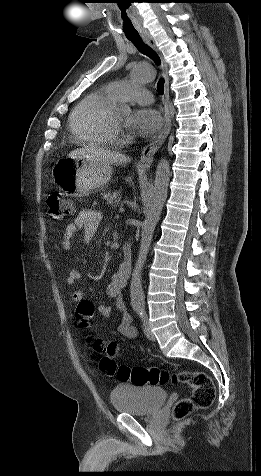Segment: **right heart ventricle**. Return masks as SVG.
<instances>
[{"instance_id":"obj_1","label":"right heart ventricle","mask_w":261,"mask_h":476,"mask_svg":"<svg viewBox=\"0 0 261 476\" xmlns=\"http://www.w3.org/2000/svg\"><path fill=\"white\" fill-rule=\"evenodd\" d=\"M117 102L106 89L87 94L73 109L69 126L77 143L109 145L117 133L111 109Z\"/></svg>"}]
</instances>
